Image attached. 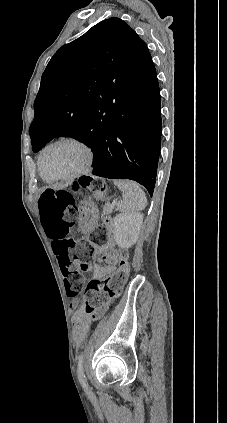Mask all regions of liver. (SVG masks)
<instances>
[{
    "instance_id": "6515ba94",
    "label": "liver",
    "mask_w": 227,
    "mask_h": 423,
    "mask_svg": "<svg viewBox=\"0 0 227 423\" xmlns=\"http://www.w3.org/2000/svg\"><path fill=\"white\" fill-rule=\"evenodd\" d=\"M68 184H54V186H52V188H54V190H62V188H67Z\"/></svg>"
}]
</instances>
